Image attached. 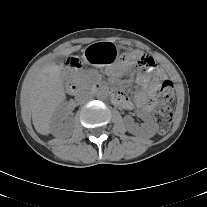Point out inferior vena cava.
I'll list each match as a JSON object with an SVG mask.
<instances>
[{
	"label": "inferior vena cava",
	"instance_id": "602c4592",
	"mask_svg": "<svg viewBox=\"0 0 207 207\" xmlns=\"http://www.w3.org/2000/svg\"><path fill=\"white\" fill-rule=\"evenodd\" d=\"M91 98H92V94L87 91H82V92L78 93L75 97V99L78 103H85V102L89 101Z\"/></svg>",
	"mask_w": 207,
	"mask_h": 207
}]
</instances>
